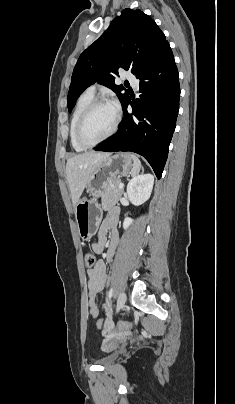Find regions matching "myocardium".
Masks as SVG:
<instances>
[{"label": "myocardium", "instance_id": "f54148a6", "mask_svg": "<svg viewBox=\"0 0 235 404\" xmlns=\"http://www.w3.org/2000/svg\"><path fill=\"white\" fill-rule=\"evenodd\" d=\"M100 105H110V103L106 99H103V98L93 99L89 103V105L84 109V111L80 115L78 122H77L76 139L79 144H81L82 146H84L86 148L94 147V146L106 141L110 137H112L115 134V132L117 131V128L119 125L120 114L117 110V111H115V118H114L113 125L106 135H104L102 138H100L94 142H88L84 139L83 128H84L85 122L87 121V119H88L89 115L92 113V111Z\"/></svg>", "mask_w": 235, "mask_h": 404}]
</instances>
